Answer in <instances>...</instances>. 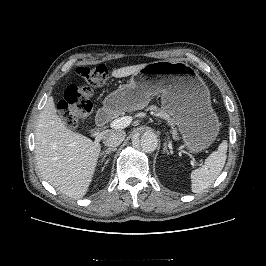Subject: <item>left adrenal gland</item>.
<instances>
[{"label":"left adrenal gland","mask_w":266,"mask_h":266,"mask_svg":"<svg viewBox=\"0 0 266 266\" xmlns=\"http://www.w3.org/2000/svg\"><path fill=\"white\" fill-rule=\"evenodd\" d=\"M163 153L170 154L168 149H167V143L166 142L164 143Z\"/></svg>","instance_id":"1"}]
</instances>
